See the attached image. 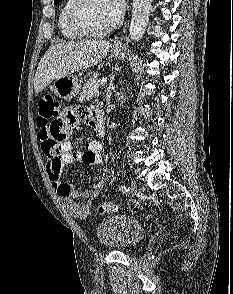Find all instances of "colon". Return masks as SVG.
Masks as SVG:
<instances>
[{
	"instance_id": "5ec220e1",
	"label": "colon",
	"mask_w": 233,
	"mask_h": 294,
	"mask_svg": "<svg viewBox=\"0 0 233 294\" xmlns=\"http://www.w3.org/2000/svg\"><path fill=\"white\" fill-rule=\"evenodd\" d=\"M60 105L50 95H45L39 100V111L37 114V122L40 126H48L50 120H53L56 115H53V110H59ZM47 132V131H46ZM46 144V142H45ZM44 144V145H45ZM118 209V204L115 201H107L102 203L98 212L102 215L110 214Z\"/></svg>"
}]
</instances>
